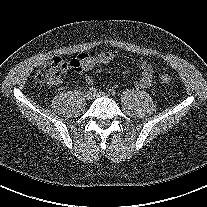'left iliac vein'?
Segmentation results:
<instances>
[{"mask_svg": "<svg viewBox=\"0 0 207 207\" xmlns=\"http://www.w3.org/2000/svg\"><path fill=\"white\" fill-rule=\"evenodd\" d=\"M94 96L95 97H109L110 95L105 92H98V93L94 94Z\"/></svg>", "mask_w": 207, "mask_h": 207, "instance_id": "obj_1", "label": "left iliac vein"}]
</instances>
